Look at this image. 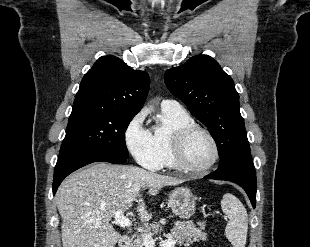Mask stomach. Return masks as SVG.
Listing matches in <instances>:
<instances>
[{"instance_id":"stomach-1","label":"stomach","mask_w":310,"mask_h":247,"mask_svg":"<svg viewBox=\"0 0 310 247\" xmlns=\"http://www.w3.org/2000/svg\"><path fill=\"white\" fill-rule=\"evenodd\" d=\"M195 205V197L189 188H175L168 196V206L182 219H188L195 213Z\"/></svg>"}]
</instances>
